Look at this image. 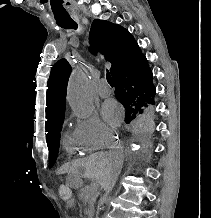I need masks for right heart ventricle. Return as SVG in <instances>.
<instances>
[{
    "label": "right heart ventricle",
    "mask_w": 211,
    "mask_h": 218,
    "mask_svg": "<svg viewBox=\"0 0 211 218\" xmlns=\"http://www.w3.org/2000/svg\"><path fill=\"white\" fill-rule=\"evenodd\" d=\"M63 145L66 149V154H83V152H89L94 150L93 148H88L79 143L73 134L64 135Z\"/></svg>",
    "instance_id": "obj_1"
}]
</instances>
